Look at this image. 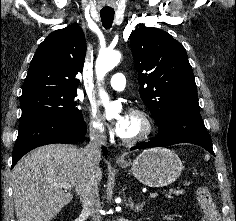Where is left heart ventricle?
<instances>
[{"label": "left heart ventricle", "mask_w": 236, "mask_h": 221, "mask_svg": "<svg viewBox=\"0 0 236 221\" xmlns=\"http://www.w3.org/2000/svg\"><path fill=\"white\" fill-rule=\"evenodd\" d=\"M143 130V123L140 118L135 115L130 114L129 116V123L127 126V130L123 137L131 138L139 135Z\"/></svg>", "instance_id": "1"}]
</instances>
